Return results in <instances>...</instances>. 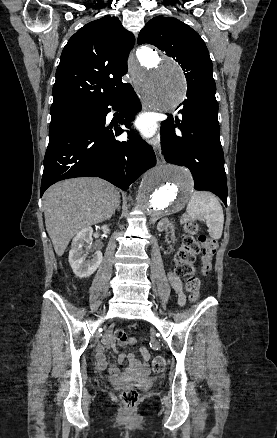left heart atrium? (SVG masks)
<instances>
[{
    "mask_svg": "<svg viewBox=\"0 0 277 438\" xmlns=\"http://www.w3.org/2000/svg\"><path fill=\"white\" fill-rule=\"evenodd\" d=\"M138 126L146 134L151 133L153 129V123L148 116L140 117L138 120Z\"/></svg>",
    "mask_w": 277,
    "mask_h": 438,
    "instance_id": "1",
    "label": "left heart atrium"
}]
</instances>
